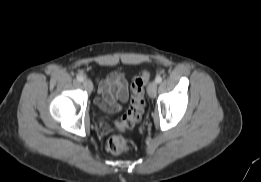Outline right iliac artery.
<instances>
[{"label":"right iliac artery","instance_id":"1","mask_svg":"<svg viewBox=\"0 0 261 182\" xmlns=\"http://www.w3.org/2000/svg\"><path fill=\"white\" fill-rule=\"evenodd\" d=\"M76 78L79 82H82L84 80L83 76L81 75H78Z\"/></svg>","mask_w":261,"mask_h":182}]
</instances>
